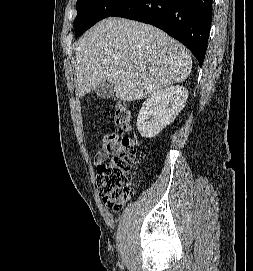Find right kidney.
Wrapping results in <instances>:
<instances>
[{
    "label": "right kidney",
    "instance_id": "1",
    "mask_svg": "<svg viewBox=\"0 0 253 271\" xmlns=\"http://www.w3.org/2000/svg\"><path fill=\"white\" fill-rule=\"evenodd\" d=\"M188 90L180 85L170 86L152 94L137 117V129L142 137L151 138L171 124L183 109Z\"/></svg>",
    "mask_w": 253,
    "mask_h": 271
}]
</instances>
